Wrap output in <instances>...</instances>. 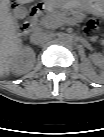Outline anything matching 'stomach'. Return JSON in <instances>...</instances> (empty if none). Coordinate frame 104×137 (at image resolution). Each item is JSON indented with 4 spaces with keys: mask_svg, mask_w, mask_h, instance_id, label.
<instances>
[{
    "mask_svg": "<svg viewBox=\"0 0 104 137\" xmlns=\"http://www.w3.org/2000/svg\"><path fill=\"white\" fill-rule=\"evenodd\" d=\"M47 6L54 8H76L90 13H98L103 6V0H72V2H60L59 0H47Z\"/></svg>",
    "mask_w": 104,
    "mask_h": 137,
    "instance_id": "1",
    "label": "stomach"
}]
</instances>
